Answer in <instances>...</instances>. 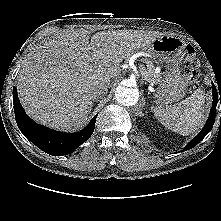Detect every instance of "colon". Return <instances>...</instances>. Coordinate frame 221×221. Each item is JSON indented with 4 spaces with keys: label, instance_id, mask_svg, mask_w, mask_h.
<instances>
[{
    "label": "colon",
    "instance_id": "obj_1",
    "mask_svg": "<svg viewBox=\"0 0 221 221\" xmlns=\"http://www.w3.org/2000/svg\"><path fill=\"white\" fill-rule=\"evenodd\" d=\"M199 61L195 56L194 49L191 46L186 48L184 59V78L190 83L194 84L199 77Z\"/></svg>",
    "mask_w": 221,
    "mask_h": 221
}]
</instances>
